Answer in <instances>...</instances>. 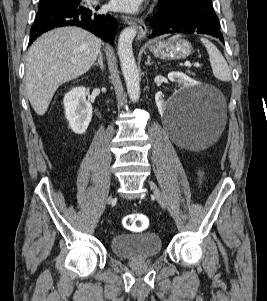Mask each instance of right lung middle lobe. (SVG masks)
<instances>
[{
    "instance_id": "dd1d6c3e",
    "label": "right lung middle lobe",
    "mask_w": 267,
    "mask_h": 301,
    "mask_svg": "<svg viewBox=\"0 0 267 301\" xmlns=\"http://www.w3.org/2000/svg\"><path fill=\"white\" fill-rule=\"evenodd\" d=\"M72 1L74 0H40L38 5V13L60 7L61 5Z\"/></svg>"
}]
</instances>
